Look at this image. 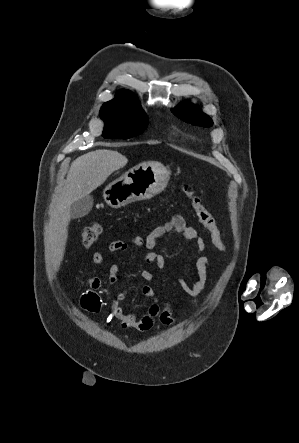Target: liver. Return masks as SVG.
<instances>
[{
    "mask_svg": "<svg viewBox=\"0 0 299 443\" xmlns=\"http://www.w3.org/2000/svg\"><path fill=\"white\" fill-rule=\"evenodd\" d=\"M127 162L124 155L109 149L88 152L72 162L65 185L50 213L46 258L55 272L64 257L71 204L89 195Z\"/></svg>",
    "mask_w": 299,
    "mask_h": 443,
    "instance_id": "6515ba94",
    "label": "liver"
}]
</instances>
